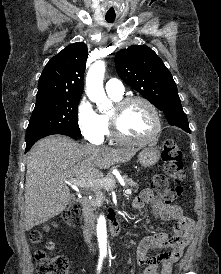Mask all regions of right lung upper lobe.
Segmentation results:
<instances>
[{
  "label": "right lung upper lobe",
  "mask_w": 221,
  "mask_h": 274,
  "mask_svg": "<svg viewBox=\"0 0 221 274\" xmlns=\"http://www.w3.org/2000/svg\"><path fill=\"white\" fill-rule=\"evenodd\" d=\"M87 55L86 44L77 42L54 56L39 78L37 99L81 96Z\"/></svg>",
  "instance_id": "1"
}]
</instances>
